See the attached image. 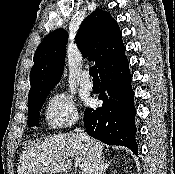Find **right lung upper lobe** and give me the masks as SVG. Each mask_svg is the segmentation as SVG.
<instances>
[{
	"label": "right lung upper lobe",
	"instance_id": "right-lung-upper-lobe-1",
	"mask_svg": "<svg viewBox=\"0 0 175 174\" xmlns=\"http://www.w3.org/2000/svg\"><path fill=\"white\" fill-rule=\"evenodd\" d=\"M68 35L59 29L49 33L38 46L30 72L28 101L47 95L59 82L64 69ZM76 43L84 57L95 61L99 74L125 54L117 21L110 13L97 8L80 26Z\"/></svg>",
	"mask_w": 175,
	"mask_h": 174
}]
</instances>
